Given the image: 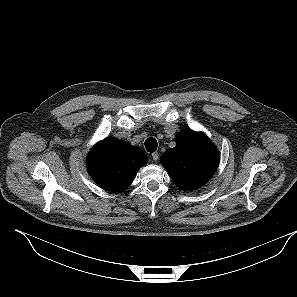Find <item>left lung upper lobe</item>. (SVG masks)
<instances>
[{"label":"left lung upper lobe","instance_id":"5c2ea615","mask_svg":"<svg viewBox=\"0 0 297 297\" xmlns=\"http://www.w3.org/2000/svg\"><path fill=\"white\" fill-rule=\"evenodd\" d=\"M160 162L180 189L193 190L213 176L219 152L204 133L188 129L177 135L176 146L167 149Z\"/></svg>","mask_w":297,"mask_h":297}]
</instances>
